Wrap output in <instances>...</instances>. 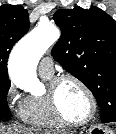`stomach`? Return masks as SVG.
<instances>
[{"instance_id":"0dacf381","label":"stomach","mask_w":116,"mask_h":134,"mask_svg":"<svg viewBox=\"0 0 116 134\" xmlns=\"http://www.w3.org/2000/svg\"><path fill=\"white\" fill-rule=\"evenodd\" d=\"M67 134H74V133L71 132ZM86 134H114V133L109 128L103 127L101 125H94L87 130Z\"/></svg>"}]
</instances>
